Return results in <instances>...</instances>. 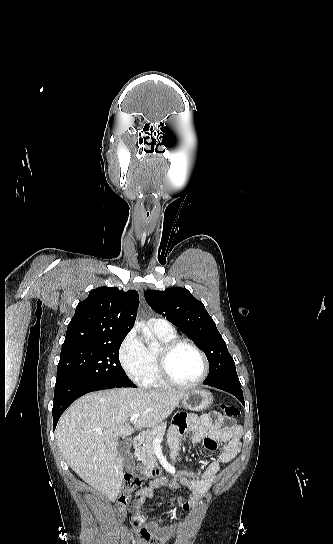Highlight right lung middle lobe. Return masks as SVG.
I'll return each mask as SVG.
<instances>
[{"label":"right lung middle lobe","instance_id":"right-lung-middle-lobe-1","mask_svg":"<svg viewBox=\"0 0 333 544\" xmlns=\"http://www.w3.org/2000/svg\"><path fill=\"white\" fill-rule=\"evenodd\" d=\"M124 338L63 348L57 367V379L78 380L88 384L135 386L119 361L118 353Z\"/></svg>","mask_w":333,"mask_h":544}]
</instances>
